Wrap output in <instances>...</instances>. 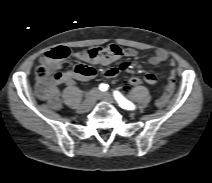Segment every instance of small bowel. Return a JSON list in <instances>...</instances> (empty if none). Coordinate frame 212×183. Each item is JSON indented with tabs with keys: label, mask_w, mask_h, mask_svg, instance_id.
I'll use <instances>...</instances> for the list:
<instances>
[{
	"label": "small bowel",
	"mask_w": 212,
	"mask_h": 183,
	"mask_svg": "<svg viewBox=\"0 0 212 183\" xmlns=\"http://www.w3.org/2000/svg\"><path fill=\"white\" fill-rule=\"evenodd\" d=\"M137 55V51L131 48H123L115 44H110L105 47H92L84 51L75 53L73 56L75 59L87 62L92 65H108L123 57H134ZM169 61L172 69L169 72L168 82L163 91V93L156 99L155 103L159 108L166 105L169 98L173 94L175 88V62L169 59L166 51L158 49L149 58V63L151 65H158L162 62ZM40 63L48 66L49 68L61 69L62 65L59 62L52 61L43 55L40 59ZM83 73H77L75 71H68L63 73L61 81L67 85L71 86L76 80L81 81H91L96 76V70L92 66H84ZM129 67V63H122L118 67H112L106 70L105 76L108 78L115 77L120 71L126 70ZM144 81L146 84L152 86L156 83L157 78L152 73H146L144 75ZM38 95L41 99L45 100L52 109H59L61 107L60 92L55 84H40L37 88Z\"/></svg>",
	"instance_id": "1"
}]
</instances>
